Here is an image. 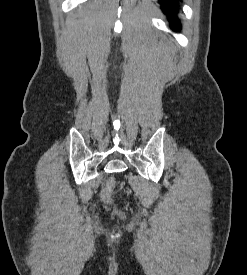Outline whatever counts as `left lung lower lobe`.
<instances>
[{
  "instance_id": "0a47b994",
  "label": "left lung lower lobe",
  "mask_w": 247,
  "mask_h": 275,
  "mask_svg": "<svg viewBox=\"0 0 247 275\" xmlns=\"http://www.w3.org/2000/svg\"><path fill=\"white\" fill-rule=\"evenodd\" d=\"M162 10L168 14L173 29L179 28L180 24L176 17L179 0H159Z\"/></svg>"
}]
</instances>
